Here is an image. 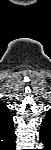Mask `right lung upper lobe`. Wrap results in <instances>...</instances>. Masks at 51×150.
<instances>
[{
  "label": "right lung upper lobe",
  "mask_w": 51,
  "mask_h": 150,
  "mask_svg": "<svg viewBox=\"0 0 51 150\" xmlns=\"http://www.w3.org/2000/svg\"><path fill=\"white\" fill-rule=\"evenodd\" d=\"M9 109L0 104V150H11L15 144V131Z\"/></svg>",
  "instance_id": "right-lung-upper-lobe-1"
}]
</instances>
